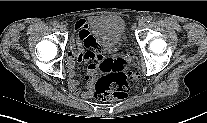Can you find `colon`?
Returning <instances> with one entry per match:
<instances>
[{
    "instance_id": "1",
    "label": "colon",
    "mask_w": 207,
    "mask_h": 123,
    "mask_svg": "<svg viewBox=\"0 0 207 123\" xmlns=\"http://www.w3.org/2000/svg\"><path fill=\"white\" fill-rule=\"evenodd\" d=\"M97 69L100 76L94 85L99 100H120L127 97L131 86L139 80V73L124 57L101 59Z\"/></svg>"
}]
</instances>
